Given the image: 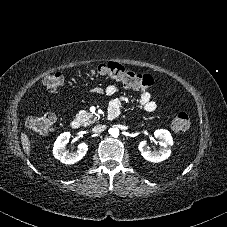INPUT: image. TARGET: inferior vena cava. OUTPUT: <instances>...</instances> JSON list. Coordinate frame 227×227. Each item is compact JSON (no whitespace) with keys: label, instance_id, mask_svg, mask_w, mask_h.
I'll return each instance as SVG.
<instances>
[{"label":"inferior vena cava","instance_id":"1","mask_svg":"<svg viewBox=\"0 0 227 227\" xmlns=\"http://www.w3.org/2000/svg\"><path fill=\"white\" fill-rule=\"evenodd\" d=\"M105 129H106V126H105V125H96V126L92 129V131H93L94 133H100V132L104 131Z\"/></svg>","mask_w":227,"mask_h":227}]
</instances>
